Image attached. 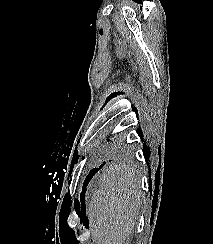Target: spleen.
<instances>
[{
	"instance_id": "1",
	"label": "spleen",
	"mask_w": 213,
	"mask_h": 244,
	"mask_svg": "<svg viewBox=\"0 0 213 244\" xmlns=\"http://www.w3.org/2000/svg\"><path fill=\"white\" fill-rule=\"evenodd\" d=\"M141 182L127 167L110 165L100 175L88 209L97 244H123L132 234L140 211Z\"/></svg>"
}]
</instances>
